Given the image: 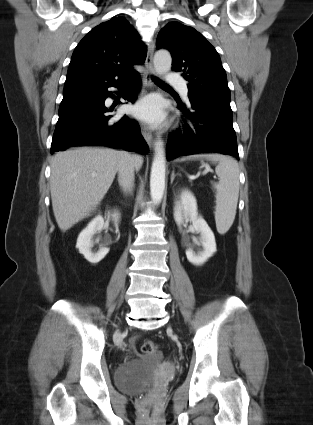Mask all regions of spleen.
<instances>
[{"label":"spleen","mask_w":313,"mask_h":425,"mask_svg":"<svg viewBox=\"0 0 313 425\" xmlns=\"http://www.w3.org/2000/svg\"><path fill=\"white\" fill-rule=\"evenodd\" d=\"M194 158H205L218 163L216 174L219 182L213 184L216 190L215 221L220 234H225L232 226L239 197V167L235 159L222 154L196 155Z\"/></svg>","instance_id":"3e777b00"}]
</instances>
